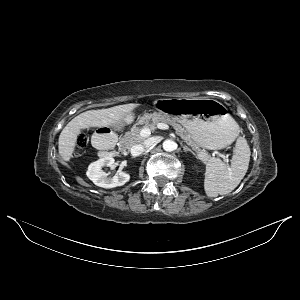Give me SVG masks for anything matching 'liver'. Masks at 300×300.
<instances>
[{"label": "liver", "mask_w": 300, "mask_h": 300, "mask_svg": "<svg viewBox=\"0 0 300 300\" xmlns=\"http://www.w3.org/2000/svg\"><path fill=\"white\" fill-rule=\"evenodd\" d=\"M137 104L118 105L107 109L89 110L73 118L62 130L58 140L59 155L64 162L70 161L82 129L119 124Z\"/></svg>", "instance_id": "6515ba94"}]
</instances>
